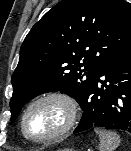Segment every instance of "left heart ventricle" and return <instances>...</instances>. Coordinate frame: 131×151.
Instances as JSON below:
<instances>
[{
	"mask_svg": "<svg viewBox=\"0 0 131 151\" xmlns=\"http://www.w3.org/2000/svg\"><path fill=\"white\" fill-rule=\"evenodd\" d=\"M66 113L59 103L48 101L35 106L26 118V130L35 138L48 136L65 122Z\"/></svg>",
	"mask_w": 131,
	"mask_h": 151,
	"instance_id": "obj_1",
	"label": "left heart ventricle"
}]
</instances>
